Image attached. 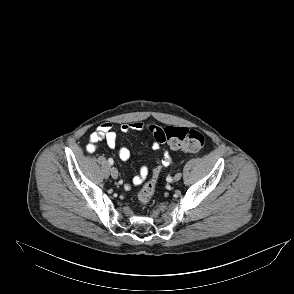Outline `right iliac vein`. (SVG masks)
<instances>
[{
	"label": "right iliac vein",
	"instance_id": "1",
	"mask_svg": "<svg viewBox=\"0 0 294 294\" xmlns=\"http://www.w3.org/2000/svg\"><path fill=\"white\" fill-rule=\"evenodd\" d=\"M110 174H111V176H112L113 179H117L118 178V170L116 168H111Z\"/></svg>",
	"mask_w": 294,
	"mask_h": 294
}]
</instances>
